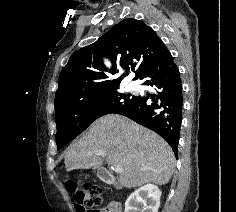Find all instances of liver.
Segmentation results:
<instances>
[{
	"label": "liver",
	"instance_id": "6515ba94",
	"mask_svg": "<svg viewBox=\"0 0 236 212\" xmlns=\"http://www.w3.org/2000/svg\"><path fill=\"white\" fill-rule=\"evenodd\" d=\"M100 150L105 155L92 152ZM106 161L122 166L119 182L134 188L146 183L165 185L172 177L175 158L169 144L153 131L122 115L109 114L92 123L65 155L67 171L97 169Z\"/></svg>",
	"mask_w": 236,
	"mask_h": 212
}]
</instances>
